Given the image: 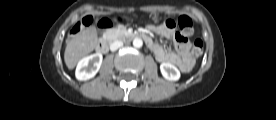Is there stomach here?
Masks as SVG:
<instances>
[{"label": "stomach", "mask_w": 276, "mask_h": 120, "mask_svg": "<svg viewBox=\"0 0 276 120\" xmlns=\"http://www.w3.org/2000/svg\"><path fill=\"white\" fill-rule=\"evenodd\" d=\"M153 21H154L155 23H158V22L160 21V18H159L157 15H155V16L153 17Z\"/></svg>", "instance_id": "0dacf381"}]
</instances>
